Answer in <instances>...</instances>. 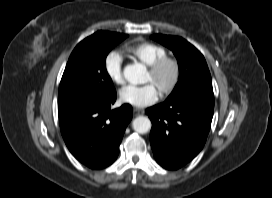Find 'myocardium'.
<instances>
[{
  "label": "myocardium",
  "mask_w": 272,
  "mask_h": 198,
  "mask_svg": "<svg viewBox=\"0 0 272 198\" xmlns=\"http://www.w3.org/2000/svg\"><path fill=\"white\" fill-rule=\"evenodd\" d=\"M166 69L170 70L171 77L169 82L160 89L159 95L161 97H167L177 87L181 73L180 64L177 59L169 56H164L149 65L148 72L154 79L160 76Z\"/></svg>",
  "instance_id": "1"
}]
</instances>
